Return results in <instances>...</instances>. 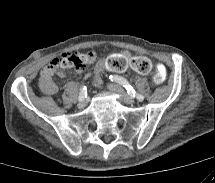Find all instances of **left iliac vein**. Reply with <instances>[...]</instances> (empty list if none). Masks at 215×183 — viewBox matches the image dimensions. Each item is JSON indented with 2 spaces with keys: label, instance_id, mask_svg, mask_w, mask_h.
I'll use <instances>...</instances> for the list:
<instances>
[{
  "label": "left iliac vein",
  "instance_id": "1",
  "mask_svg": "<svg viewBox=\"0 0 215 183\" xmlns=\"http://www.w3.org/2000/svg\"><path fill=\"white\" fill-rule=\"evenodd\" d=\"M107 88L114 92V93H117L118 95H120V97L122 98V100L127 103V104H133L135 101L134 99L127 95V93L125 92V90L119 86V85H116V84H108L107 85Z\"/></svg>",
  "mask_w": 215,
  "mask_h": 183
}]
</instances>
